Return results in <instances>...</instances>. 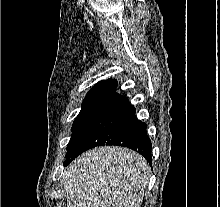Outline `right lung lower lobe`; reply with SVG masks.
I'll list each match as a JSON object with an SVG mask.
<instances>
[{
    "label": "right lung lower lobe",
    "instance_id": "1",
    "mask_svg": "<svg viewBox=\"0 0 220 207\" xmlns=\"http://www.w3.org/2000/svg\"><path fill=\"white\" fill-rule=\"evenodd\" d=\"M117 81H105L84 122L72 137L66 154L70 163L82 152L99 145H119L138 151L152 163V144L146 123L135 116V108L128 98L115 92Z\"/></svg>",
    "mask_w": 220,
    "mask_h": 207
}]
</instances>
